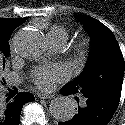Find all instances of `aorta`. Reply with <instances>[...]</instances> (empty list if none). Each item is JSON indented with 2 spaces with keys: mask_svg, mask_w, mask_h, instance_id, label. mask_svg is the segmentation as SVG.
<instances>
[{
  "mask_svg": "<svg viewBox=\"0 0 125 125\" xmlns=\"http://www.w3.org/2000/svg\"><path fill=\"white\" fill-rule=\"evenodd\" d=\"M16 47L20 55L36 58L45 52L47 43L41 32L32 30L20 33ZM75 108L76 106L70 98L61 96L51 101L49 110L55 119L67 121L75 115Z\"/></svg>",
  "mask_w": 125,
  "mask_h": 125,
  "instance_id": "762f6f07",
  "label": "aorta"
}]
</instances>
